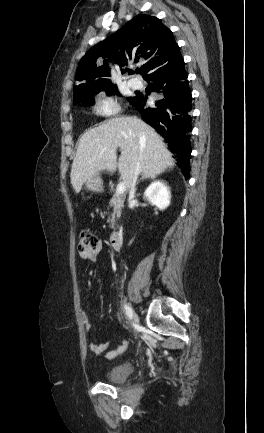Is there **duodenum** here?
Wrapping results in <instances>:
<instances>
[{
    "label": "duodenum",
    "instance_id": "1",
    "mask_svg": "<svg viewBox=\"0 0 264 433\" xmlns=\"http://www.w3.org/2000/svg\"><path fill=\"white\" fill-rule=\"evenodd\" d=\"M123 236V228H118L110 232L109 243L113 248H119Z\"/></svg>",
    "mask_w": 264,
    "mask_h": 433
}]
</instances>
